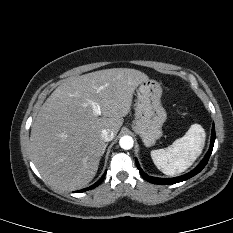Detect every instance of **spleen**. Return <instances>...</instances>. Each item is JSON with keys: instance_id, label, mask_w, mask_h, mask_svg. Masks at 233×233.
<instances>
[{"instance_id": "1", "label": "spleen", "mask_w": 233, "mask_h": 233, "mask_svg": "<svg viewBox=\"0 0 233 233\" xmlns=\"http://www.w3.org/2000/svg\"><path fill=\"white\" fill-rule=\"evenodd\" d=\"M205 144V131L193 124L186 134L165 149L151 151L156 167L164 174L174 176L188 169L200 156Z\"/></svg>"}]
</instances>
